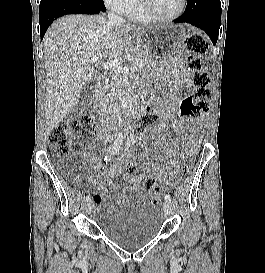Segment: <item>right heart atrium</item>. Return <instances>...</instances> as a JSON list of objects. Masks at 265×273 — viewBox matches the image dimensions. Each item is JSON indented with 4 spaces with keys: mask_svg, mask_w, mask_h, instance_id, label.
Returning a JSON list of instances; mask_svg holds the SVG:
<instances>
[{
    "mask_svg": "<svg viewBox=\"0 0 265 273\" xmlns=\"http://www.w3.org/2000/svg\"><path fill=\"white\" fill-rule=\"evenodd\" d=\"M106 7L119 13L126 14L137 0H103Z\"/></svg>",
    "mask_w": 265,
    "mask_h": 273,
    "instance_id": "d8ad5b80",
    "label": "right heart atrium"
}]
</instances>
